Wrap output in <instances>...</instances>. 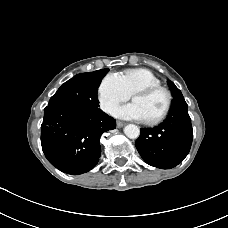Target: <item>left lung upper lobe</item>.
Wrapping results in <instances>:
<instances>
[{
  "label": "left lung upper lobe",
  "instance_id": "1",
  "mask_svg": "<svg viewBox=\"0 0 228 228\" xmlns=\"http://www.w3.org/2000/svg\"><path fill=\"white\" fill-rule=\"evenodd\" d=\"M169 86L171 88V91L174 97L182 94L181 91L175 86V84L172 81H169Z\"/></svg>",
  "mask_w": 228,
  "mask_h": 228
}]
</instances>
